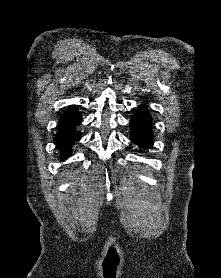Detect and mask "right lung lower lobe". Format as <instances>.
Instances as JSON below:
<instances>
[{
  "label": "right lung lower lobe",
  "mask_w": 221,
  "mask_h": 278,
  "mask_svg": "<svg viewBox=\"0 0 221 278\" xmlns=\"http://www.w3.org/2000/svg\"><path fill=\"white\" fill-rule=\"evenodd\" d=\"M81 114L76 113L70 118L59 122L54 141L57 148L61 151V158L65 159L70 156L71 146L75 141H79L81 133L76 130V127L81 123Z\"/></svg>",
  "instance_id": "obj_1"
}]
</instances>
